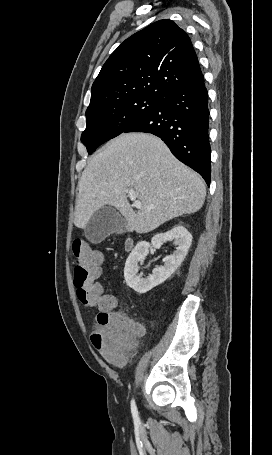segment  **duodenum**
<instances>
[{"label":"duodenum","instance_id":"duodenum-1","mask_svg":"<svg viewBox=\"0 0 272 455\" xmlns=\"http://www.w3.org/2000/svg\"><path fill=\"white\" fill-rule=\"evenodd\" d=\"M125 247L128 251L132 250L134 247V240L133 239H128L126 241Z\"/></svg>","mask_w":272,"mask_h":455}]
</instances>
